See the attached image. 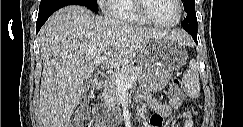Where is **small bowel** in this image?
Returning a JSON list of instances; mask_svg holds the SVG:
<instances>
[{"label":"small bowel","instance_id":"small-bowel-1","mask_svg":"<svg viewBox=\"0 0 243 127\" xmlns=\"http://www.w3.org/2000/svg\"><path fill=\"white\" fill-rule=\"evenodd\" d=\"M148 103L154 108V114L151 116L150 127H162L164 123L171 118L173 110H183L182 118L176 121V127H192L193 119L190 111L183 109V98L171 96L169 102H161L149 98Z\"/></svg>","mask_w":243,"mask_h":127}]
</instances>
